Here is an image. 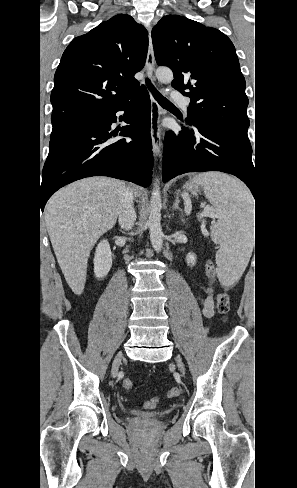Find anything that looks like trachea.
Instances as JSON below:
<instances>
[{
    "instance_id": "trachea-1",
    "label": "trachea",
    "mask_w": 297,
    "mask_h": 488,
    "mask_svg": "<svg viewBox=\"0 0 297 488\" xmlns=\"http://www.w3.org/2000/svg\"><path fill=\"white\" fill-rule=\"evenodd\" d=\"M146 84L150 91L152 92L154 98L157 100V102L163 106V107H174V105L168 101L164 96H162L151 84L150 80L146 78Z\"/></svg>"
}]
</instances>
